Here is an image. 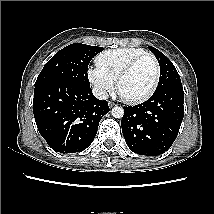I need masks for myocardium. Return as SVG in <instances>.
Here are the masks:
<instances>
[{
    "instance_id": "1",
    "label": "myocardium",
    "mask_w": 214,
    "mask_h": 214,
    "mask_svg": "<svg viewBox=\"0 0 214 214\" xmlns=\"http://www.w3.org/2000/svg\"><path fill=\"white\" fill-rule=\"evenodd\" d=\"M150 59L153 62L154 68H155V79L153 82V85L151 86V88L148 90V92H146L144 95L137 97V98H127L125 96H123L121 94L120 91V85L123 81V79L135 68V66L142 61L143 59ZM160 78H161V70H160V65L157 61V59L150 53H144L142 55H139L137 57H135L133 60H131L119 73L118 77H117V90L118 93L120 94V96L127 102L130 104H140L143 103L145 101H147L148 99H150L153 94L155 93V91L157 90L159 83H160Z\"/></svg>"
}]
</instances>
